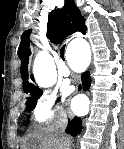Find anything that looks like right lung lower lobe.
Wrapping results in <instances>:
<instances>
[{"instance_id":"right-lung-lower-lobe-1","label":"right lung lower lobe","mask_w":124,"mask_h":149,"mask_svg":"<svg viewBox=\"0 0 124 149\" xmlns=\"http://www.w3.org/2000/svg\"><path fill=\"white\" fill-rule=\"evenodd\" d=\"M82 130V121L79 117H74L71 121L68 119V126L65 130L66 133L77 136Z\"/></svg>"}]
</instances>
